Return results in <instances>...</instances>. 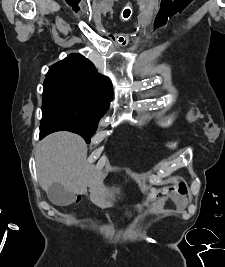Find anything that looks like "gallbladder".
<instances>
[{
	"mask_svg": "<svg viewBox=\"0 0 225 267\" xmlns=\"http://www.w3.org/2000/svg\"><path fill=\"white\" fill-rule=\"evenodd\" d=\"M49 200L59 206L70 205L73 202L74 196L68 192L60 183H53L47 190Z\"/></svg>",
	"mask_w": 225,
	"mask_h": 267,
	"instance_id": "bac80fb5",
	"label": "gallbladder"
}]
</instances>
